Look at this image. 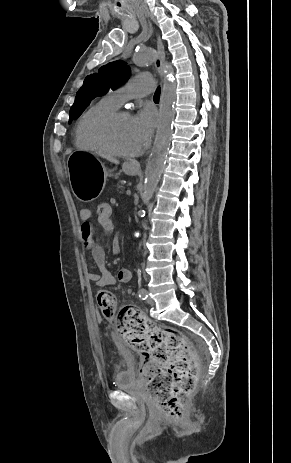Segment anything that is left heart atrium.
<instances>
[{
  "mask_svg": "<svg viewBox=\"0 0 291 463\" xmlns=\"http://www.w3.org/2000/svg\"><path fill=\"white\" fill-rule=\"evenodd\" d=\"M131 120L141 146L146 145L156 125L155 113L151 109H144L139 111Z\"/></svg>",
  "mask_w": 291,
  "mask_h": 463,
  "instance_id": "39dd6f15",
  "label": "left heart atrium"
}]
</instances>
